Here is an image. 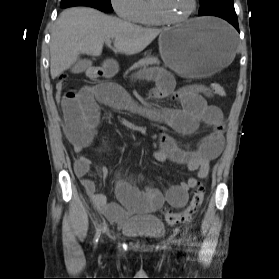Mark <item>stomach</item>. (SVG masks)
I'll list each match as a JSON object with an SVG mask.
<instances>
[{
  "label": "stomach",
  "instance_id": "obj_1",
  "mask_svg": "<svg viewBox=\"0 0 279 279\" xmlns=\"http://www.w3.org/2000/svg\"><path fill=\"white\" fill-rule=\"evenodd\" d=\"M223 28L227 30L224 31ZM162 59L179 75L205 78L228 69L235 59L234 32L226 23L211 18H195L181 26L164 30L159 37ZM116 70L114 62L105 64V74ZM104 81V78H101Z\"/></svg>",
  "mask_w": 279,
  "mask_h": 279
}]
</instances>
